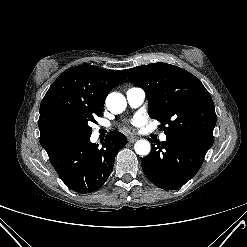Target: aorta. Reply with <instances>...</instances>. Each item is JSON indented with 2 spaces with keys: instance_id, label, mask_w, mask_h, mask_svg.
Returning <instances> with one entry per match:
<instances>
[{
  "instance_id": "obj_1",
  "label": "aorta",
  "mask_w": 247,
  "mask_h": 247,
  "mask_svg": "<svg viewBox=\"0 0 247 247\" xmlns=\"http://www.w3.org/2000/svg\"><path fill=\"white\" fill-rule=\"evenodd\" d=\"M106 105L110 112L114 114L122 113L127 106L126 98L117 92H112L107 96ZM135 152L141 156H146L151 151L150 143L147 140H138L134 145Z\"/></svg>"
}]
</instances>
